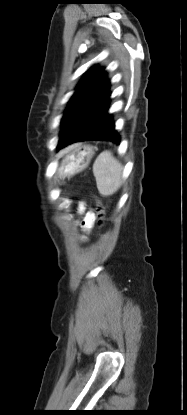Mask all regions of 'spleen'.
<instances>
[{
	"label": "spleen",
	"instance_id": "3e777b00",
	"mask_svg": "<svg viewBox=\"0 0 187 415\" xmlns=\"http://www.w3.org/2000/svg\"><path fill=\"white\" fill-rule=\"evenodd\" d=\"M123 167L110 151L102 152L93 164V174L99 193L110 196L117 192L123 180Z\"/></svg>",
	"mask_w": 187,
	"mask_h": 415
}]
</instances>
